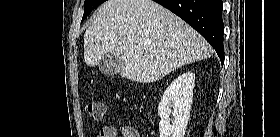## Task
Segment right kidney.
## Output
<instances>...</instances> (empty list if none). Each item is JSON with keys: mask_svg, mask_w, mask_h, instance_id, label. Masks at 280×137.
Listing matches in <instances>:
<instances>
[{"mask_svg": "<svg viewBox=\"0 0 280 137\" xmlns=\"http://www.w3.org/2000/svg\"><path fill=\"white\" fill-rule=\"evenodd\" d=\"M194 83L195 74L186 72L176 78L164 92L158 106L160 137H184L190 117Z\"/></svg>", "mask_w": 280, "mask_h": 137, "instance_id": "right-kidney-1", "label": "right kidney"}]
</instances>
